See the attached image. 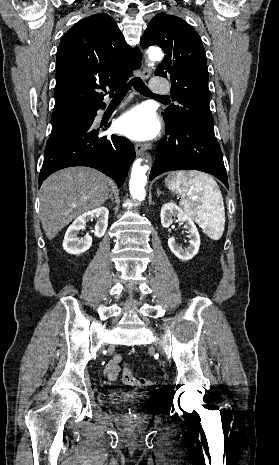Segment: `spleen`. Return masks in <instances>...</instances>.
Here are the masks:
<instances>
[{
  "mask_svg": "<svg viewBox=\"0 0 279 465\" xmlns=\"http://www.w3.org/2000/svg\"><path fill=\"white\" fill-rule=\"evenodd\" d=\"M167 187L182 197L180 206L213 240H219L225 226V208L216 181L202 172L177 171L165 179Z\"/></svg>",
  "mask_w": 279,
  "mask_h": 465,
  "instance_id": "spleen-1",
  "label": "spleen"
}]
</instances>
